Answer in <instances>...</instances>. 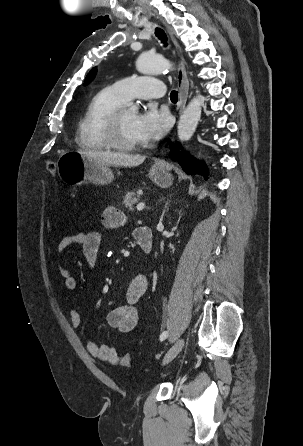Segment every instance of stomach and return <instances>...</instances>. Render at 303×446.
<instances>
[{"label": "stomach", "instance_id": "obj_1", "mask_svg": "<svg viewBox=\"0 0 303 446\" xmlns=\"http://www.w3.org/2000/svg\"><path fill=\"white\" fill-rule=\"evenodd\" d=\"M57 173L63 182L72 186H80L86 182L106 185L114 179L110 165L93 161L76 152H64L60 155ZM149 177L162 188L171 186L173 182L172 175L164 167H152Z\"/></svg>", "mask_w": 303, "mask_h": 446}]
</instances>
